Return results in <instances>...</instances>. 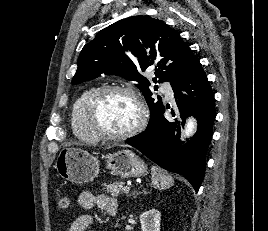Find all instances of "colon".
<instances>
[{"label": "colon", "mask_w": 268, "mask_h": 231, "mask_svg": "<svg viewBox=\"0 0 268 231\" xmlns=\"http://www.w3.org/2000/svg\"><path fill=\"white\" fill-rule=\"evenodd\" d=\"M72 204V199L64 193H58L55 198V207L59 213H64Z\"/></svg>", "instance_id": "colon-1"}]
</instances>
